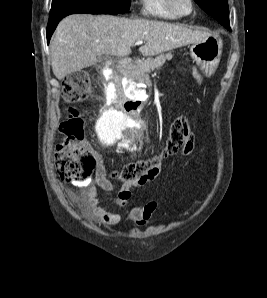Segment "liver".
Masks as SVG:
<instances>
[{
    "mask_svg": "<svg viewBox=\"0 0 267 298\" xmlns=\"http://www.w3.org/2000/svg\"><path fill=\"white\" fill-rule=\"evenodd\" d=\"M208 36L205 31L162 21L74 14L57 26L50 46L52 70L61 80L96 64L99 56H128L137 41L146 42L139 48L144 56H154Z\"/></svg>",
    "mask_w": 267,
    "mask_h": 298,
    "instance_id": "1",
    "label": "liver"
}]
</instances>
